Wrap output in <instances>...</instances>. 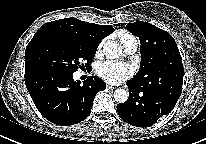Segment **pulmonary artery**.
Instances as JSON below:
<instances>
[{
	"instance_id": "obj_1",
	"label": "pulmonary artery",
	"mask_w": 206,
	"mask_h": 144,
	"mask_svg": "<svg viewBox=\"0 0 206 144\" xmlns=\"http://www.w3.org/2000/svg\"><path fill=\"white\" fill-rule=\"evenodd\" d=\"M137 41H134V42H130L126 47H125V50L127 53L129 54H133L136 52L137 50Z\"/></svg>"
}]
</instances>
